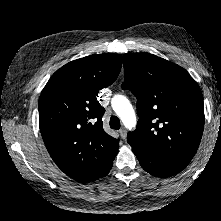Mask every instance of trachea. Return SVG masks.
Listing matches in <instances>:
<instances>
[{
    "label": "trachea",
    "instance_id": "1",
    "mask_svg": "<svg viewBox=\"0 0 221 221\" xmlns=\"http://www.w3.org/2000/svg\"><path fill=\"white\" fill-rule=\"evenodd\" d=\"M109 124H110V127L115 130L120 129V127H121L120 120L117 116H112L110 118Z\"/></svg>",
    "mask_w": 221,
    "mask_h": 221
}]
</instances>
